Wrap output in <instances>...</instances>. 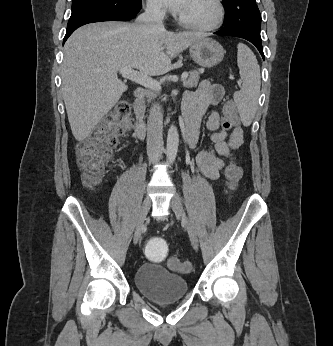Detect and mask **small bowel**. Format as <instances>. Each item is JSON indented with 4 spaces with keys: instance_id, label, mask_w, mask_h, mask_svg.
Wrapping results in <instances>:
<instances>
[{
    "instance_id": "1",
    "label": "small bowel",
    "mask_w": 333,
    "mask_h": 346,
    "mask_svg": "<svg viewBox=\"0 0 333 346\" xmlns=\"http://www.w3.org/2000/svg\"><path fill=\"white\" fill-rule=\"evenodd\" d=\"M223 95V87L208 80L201 81L196 90L185 93L183 117L189 128L187 142L190 148L198 141L201 124L208 111L221 101ZM206 128L209 131L210 147L200 151L196 160L201 172L207 178L216 180L225 164L223 157L231 155L232 151L243 143V130L241 126L236 125L228 134V129L221 121V115L217 110H211L208 114Z\"/></svg>"
}]
</instances>
